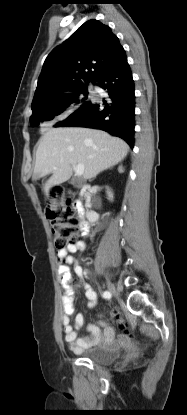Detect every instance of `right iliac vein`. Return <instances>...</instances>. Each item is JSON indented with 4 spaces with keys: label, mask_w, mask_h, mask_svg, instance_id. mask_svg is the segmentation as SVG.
I'll list each match as a JSON object with an SVG mask.
<instances>
[{
    "label": "right iliac vein",
    "mask_w": 187,
    "mask_h": 415,
    "mask_svg": "<svg viewBox=\"0 0 187 415\" xmlns=\"http://www.w3.org/2000/svg\"><path fill=\"white\" fill-rule=\"evenodd\" d=\"M106 286H107L108 291L111 294H116V288H115L114 284L111 281L107 280L106 281Z\"/></svg>",
    "instance_id": "right-iliac-vein-1"
}]
</instances>
